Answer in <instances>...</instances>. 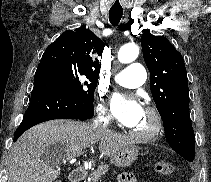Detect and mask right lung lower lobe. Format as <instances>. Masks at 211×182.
<instances>
[{
  "mask_svg": "<svg viewBox=\"0 0 211 182\" xmlns=\"http://www.w3.org/2000/svg\"><path fill=\"white\" fill-rule=\"evenodd\" d=\"M94 106L76 96L46 67L39 66L34 77L31 100L14 135V142L32 126L53 119H90Z\"/></svg>",
  "mask_w": 211,
  "mask_h": 182,
  "instance_id": "right-lung-lower-lobe-1",
  "label": "right lung lower lobe"
}]
</instances>
